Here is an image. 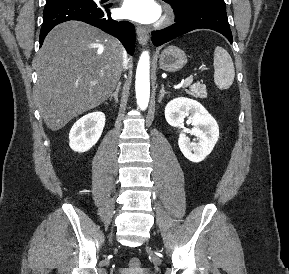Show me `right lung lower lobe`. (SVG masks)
Segmentation results:
<instances>
[{"label": "right lung lower lobe", "instance_id": "obj_1", "mask_svg": "<svg viewBox=\"0 0 289 274\" xmlns=\"http://www.w3.org/2000/svg\"><path fill=\"white\" fill-rule=\"evenodd\" d=\"M111 4L95 3L93 0L66 1L46 5L43 12V24L40 31V46L48 32L57 24L78 20L100 28L115 36L130 55L135 49V29L127 21H115L109 11Z\"/></svg>", "mask_w": 289, "mask_h": 274}]
</instances>
